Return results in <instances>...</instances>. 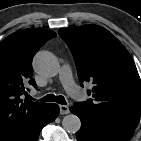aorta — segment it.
I'll use <instances>...</instances> for the list:
<instances>
[{"instance_id":"1","label":"aorta","mask_w":141,"mask_h":141,"mask_svg":"<svg viewBox=\"0 0 141 141\" xmlns=\"http://www.w3.org/2000/svg\"><path fill=\"white\" fill-rule=\"evenodd\" d=\"M34 70L45 77H54L59 73L57 58L48 51H39L33 59ZM62 126L68 133H76L81 127V121L74 114L66 115L62 120Z\"/></svg>"}]
</instances>
